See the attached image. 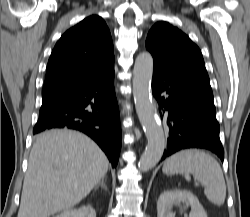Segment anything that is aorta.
<instances>
[{
    "mask_svg": "<svg viewBox=\"0 0 250 217\" xmlns=\"http://www.w3.org/2000/svg\"><path fill=\"white\" fill-rule=\"evenodd\" d=\"M152 74V55L149 52L140 53L133 69V96L138 118L148 141L139 160L140 169L143 171H148L158 164L166 145L163 127L150 93Z\"/></svg>",
    "mask_w": 250,
    "mask_h": 217,
    "instance_id": "762f6f07",
    "label": "aorta"
}]
</instances>
